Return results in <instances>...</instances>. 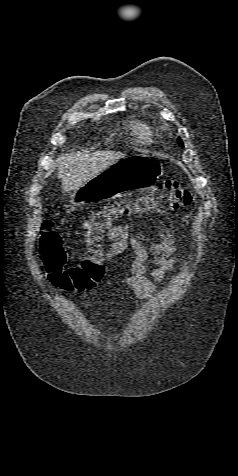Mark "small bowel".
Returning a JSON list of instances; mask_svg holds the SVG:
<instances>
[{
	"label": "small bowel",
	"mask_w": 238,
	"mask_h": 476,
	"mask_svg": "<svg viewBox=\"0 0 238 476\" xmlns=\"http://www.w3.org/2000/svg\"><path fill=\"white\" fill-rule=\"evenodd\" d=\"M107 236L112 240L105 253L107 259L123 253L128 248L135 253L129 273L118 279L117 283L131 288L139 299H151L157 290V283L161 282L166 272L178 262L176 256L178 249L171 231L164 229L160 239L151 243L149 248L143 245V237L140 234L131 233L129 225L115 226ZM149 252L152 253V257H149ZM151 267H153L150 273L151 278H148L146 274ZM104 268L106 272V266Z\"/></svg>",
	"instance_id": "small-bowel-1"
}]
</instances>
